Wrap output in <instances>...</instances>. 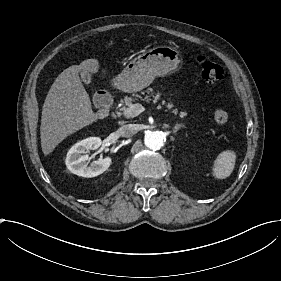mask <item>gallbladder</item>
I'll use <instances>...</instances> for the list:
<instances>
[{
    "mask_svg": "<svg viewBox=\"0 0 281 281\" xmlns=\"http://www.w3.org/2000/svg\"><path fill=\"white\" fill-rule=\"evenodd\" d=\"M81 75H82V81L85 84H89L91 82V75L89 73L83 72Z\"/></svg>",
    "mask_w": 281,
    "mask_h": 281,
    "instance_id": "bac80fb5",
    "label": "gallbladder"
}]
</instances>
